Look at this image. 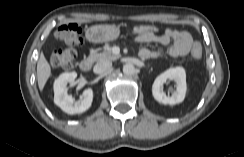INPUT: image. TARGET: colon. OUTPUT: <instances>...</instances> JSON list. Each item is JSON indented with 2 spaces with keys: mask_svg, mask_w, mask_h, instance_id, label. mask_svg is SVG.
I'll use <instances>...</instances> for the list:
<instances>
[{
  "mask_svg": "<svg viewBox=\"0 0 244 157\" xmlns=\"http://www.w3.org/2000/svg\"><path fill=\"white\" fill-rule=\"evenodd\" d=\"M158 28L151 24H141L133 27L131 33L135 36L156 34ZM56 36L63 41L66 46L55 49L51 55V64L57 68L64 70H70L74 65L76 57L75 46H80L83 43L82 29L76 23H68L61 25ZM191 55L195 59H199L202 56L201 45L194 42L191 49Z\"/></svg>",
  "mask_w": 244,
  "mask_h": 157,
  "instance_id": "1",
  "label": "colon"
}]
</instances>
